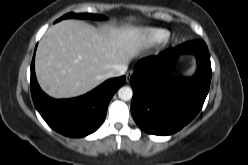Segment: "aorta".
Returning a JSON list of instances; mask_svg holds the SVG:
<instances>
[{
	"instance_id": "obj_1",
	"label": "aorta",
	"mask_w": 248,
	"mask_h": 165,
	"mask_svg": "<svg viewBox=\"0 0 248 165\" xmlns=\"http://www.w3.org/2000/svg\"><path fill=\"white\" fill-rule=\"evenodd\" d=\"M133 91L130 87L124 86L118 90V97L121 100L128 101L132 98Z\"/></svg>"
}]
</instances>
